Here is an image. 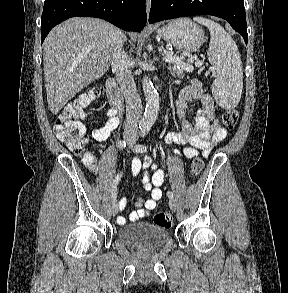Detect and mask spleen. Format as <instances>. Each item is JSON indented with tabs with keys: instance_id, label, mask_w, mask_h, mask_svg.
I'll list each match as a JSON object with an SVG mask.
<instances>
[{
	"instance_id": "obj_1",
	"label": "spleen",
	"mask_w": 288,
	"mask_h": 293,
	"mask_svg": "<svg viewBox=\"0 0 288 293\" xmlns=\"http://www.w3.org/2000/svg\"><path fill=\"white\" fill-rule=\"evenodd\" d=\"M194 20L205 25L210 31L207 56L217 71L212 84L213 97L222 108H235L240 101L243 88L242 62L237 45L215 21L205 17H195Z\"/></svg>"
}]
</instances>
